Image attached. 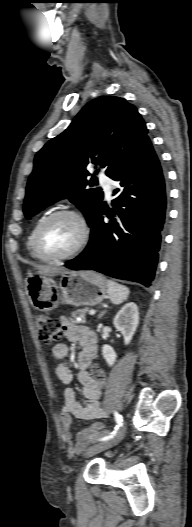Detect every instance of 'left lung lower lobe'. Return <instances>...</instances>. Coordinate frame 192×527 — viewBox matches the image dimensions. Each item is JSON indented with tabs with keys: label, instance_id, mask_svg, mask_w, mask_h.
<instances>
[{
	"label": "left lung lower lobe",
	"instance_id": "obj_1",
	"mask_svg": "<svg viewBox=\"0 0 192 527\" xmlns=\"http://www.w3.org/2000/svg\"><path fill=\"white\" fill-rule=\"evenodd\" d=\"M117 181L112 210L101 205L85 250L65 263L149 287L154 279L166 215L165 174L151 141L142 143ZM110 219L104 223V215Z\"/></svg>",
	"mask_w": 192,
	"mask_h": 527
}]
</instances>
